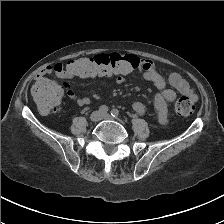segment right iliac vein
<instances>
[{
    "mask_svg": "<svg viewBox=\"0 0 224 224\" xmlns=\"http://www.w3.org/2000/svg\"><path fill=\"white\" fill-rule=\"evenodd\" d=\"M91 121L98 122L102 119V114L99 111H94L90 116Z\"/></svg>",
    "mask_w": 224,
    "mask_h": 224,
    "instance_id": "right-iliac-vein-1",
    "label": "right iliac vein"
}]
</instances>
